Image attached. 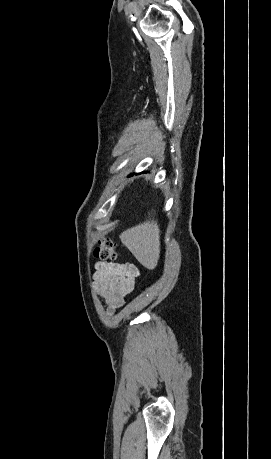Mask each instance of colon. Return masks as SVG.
I'll list each match as a JSON object with an SVG mask.
<instances>
[{"label": "colon", "mask_w": 271, "mask_h": 459, "mask_svg": "<svg viewBox=\"0 0 271 459\" xmlns=\"http://www.w3.org/2000/svg\"><path fill=\"white\" fill-rule=\"evenodd\" d=\"M94 256L100 260H113L116 258L115 244L109 239H102L94 250Z\"/></svg>", "instance_id": "5ec220e1"}]
</instances>
